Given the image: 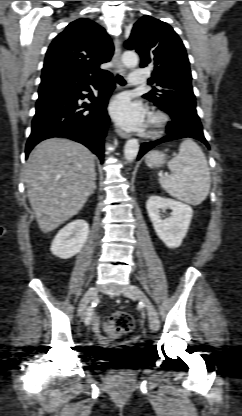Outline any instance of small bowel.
<instances>
[{
    "mask_svg": "<svg viewBox=\"0 0 242 416\" xmlns=\"http://www.w3.org/2000/svg\"><path fill=\"white\" fill-rule=\"evenodd\" d=\"M98 327H99V320L96 316H94L92 318V328H93L94 333L98 332Z\"/></svg>",
    "mask_w": 242,
    "mask_h": 416,
    "instance_id": "obj_1",
    "label": "small bowel"
}]
</instances>
